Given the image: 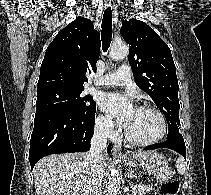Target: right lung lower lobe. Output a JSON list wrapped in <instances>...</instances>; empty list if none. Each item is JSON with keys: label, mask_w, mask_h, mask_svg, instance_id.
I'll return each mask as SVG.
<instances>
[{"label": "right lung lower lobe", "mask_w": 211, "mask_h": 195, "mask_svg": "<svg viewBox=\"0 0 211 195\" xmlns=\"http://www.w3.org/2000/svg\"><path fill=\"white\" fill-rule=\"evenodd\" d=\"M96 108L87 114L61 111L36 113L31 135L29 161L31 168L50 154L86 152L94 133ZM111 151V145L107 152Z\"/></svg>", "instance_id": "1"}]
</instances>
